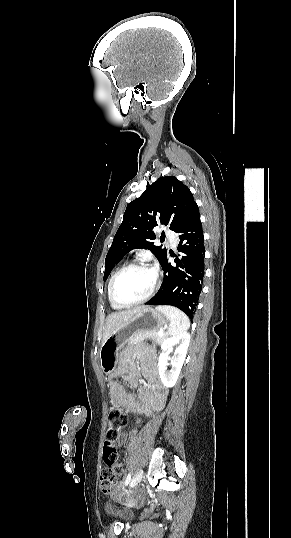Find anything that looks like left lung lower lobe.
Masks as SVG:
<instances>
[{
  "mask_svg": "<svg viewBox=\"0 0 291 538\" xmlns=\"http://www.w3.org/2000/svg\"><path fill=\"white\" fill-rule=\"evenodd\" d=\"M179 235L176 267L168 264L167 257L161 263L164 281L157 294L147 305H172L193 318L204 278V240L198 208L174 231Z\"/></svg>",
  "mask_w": 291,
  "mask_h": 538,
  "instance_id": "left-lung-lower-lobe-1",
  "label": "left lung lower lobe"
}]
</instances>
